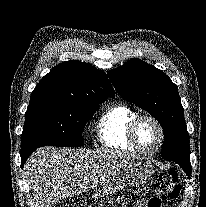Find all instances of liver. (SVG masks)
Returning a JSON list of instances; mask_svg holds the SVG:
<instances>
[{"label":"liver","instance_id":"liver-1","mask_svg":"<svg viewBox=\"0 0 206 207\" xmlns=\"http://www.w3.org/2000/svg\"><path fill=\"white\" fill-rule=\"evenodd\" d=\"M136 159V155L112 150L41 147L24 167L33 207H49L91 189L99 196L100 185Z\"/></svg>","mask_w":206,"mask_h":207}]
</instances>
